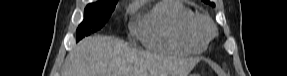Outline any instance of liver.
<instances>
[{
    "mask_svg": "<svg viewBox=\"0 0 287 76\" xmlns=\"http://www.w3.org/2000/svg\"><path fill=\"white\" fill-rule=\"evenodd\" d=\"M197 58L138 52L104 35L86 37L67 55L63 76H187Z\"/></svg>",
    "mask_w": 287,
    "mask_h": 76,
    "instance_id": "1",
    "label": "liver"
}]
</instances>
